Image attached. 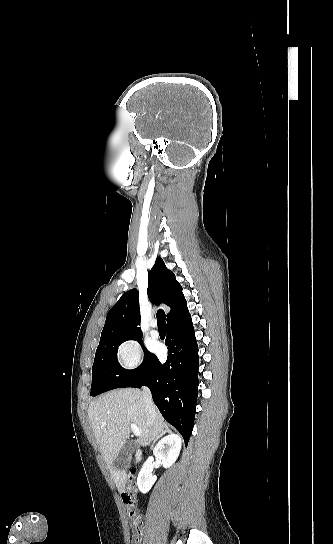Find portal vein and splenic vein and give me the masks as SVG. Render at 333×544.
I'll use <instances>...</instances> for the list:
<instances>
[{
  "label": "portal vein and splenic vein",
  "mask_w": 333,
  "mask_h": 544,
  "mask_svg": "<svg viewBox=\"0 0 333 544\" xmlns=\"http://www.w3.org/2000/svg\"><path fill=\"white\" fill-rule=\"evenodd\" d=\"M131 430L133 431L135 436L141 435V429L136 424H131Z\"/></svg>",
  "instance_id": "obj_1"
}]
</instances>
